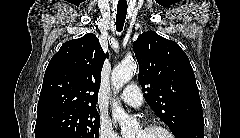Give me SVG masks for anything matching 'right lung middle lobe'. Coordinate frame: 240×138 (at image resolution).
Wrapping results in <instances>:
<instances>
[{
  "label": "right lung middle lobe",
  "mask_w": 240,
  "mask_h": 138,
  "mask_svg": "<svg viewBox=\"0 0 240 138\" xmlns=\"http://www.w3.org/2000/svg\"><path fill=\"white\" fill-rule=\"evenodd\" d=\"M96 109H59L37 115L35 135L62 134L69 138H98Z\"/></svg>",
  "instance_id": "obj_1"
}]
</instances>
